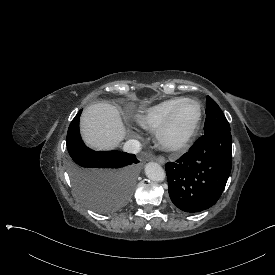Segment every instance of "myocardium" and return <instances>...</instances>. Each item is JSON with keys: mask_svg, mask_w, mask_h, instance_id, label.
<instances>
[{"mask_svg": "<svg viewBox=\"0 0 275 275\" xmlns=\"http://www.w3.org/2000/svg\"><path fill=\"white\" fill-rule=\"evenodd\" d=\"M184 103H193L197 108V115L189 127L183 133H177L174 129V115L177 108ZM202 110L201 105L194 99L186 98L178 102L169 112L163 125L156 132V144L165 151H178L183 149L196 133L201 121Z\"/></svg>", "mask_w": 275, "mask_h": 275, "instance_id": "f54148a6", "label": "myocardium"}]
</instances>
